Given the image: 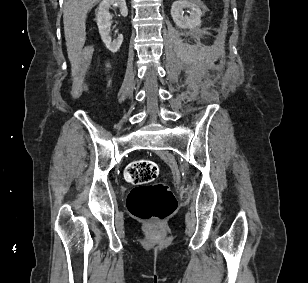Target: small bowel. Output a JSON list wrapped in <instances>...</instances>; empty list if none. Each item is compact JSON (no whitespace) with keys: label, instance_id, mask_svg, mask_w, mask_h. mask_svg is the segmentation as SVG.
Here are the masks:
<instances>
[{"label":"small bowel","instance_id":"1","mask_svg":"<svg viewBox=\"0 0 308 283\" xmlns=\"http://www.w3.org/2000/svg\"><path fill=\"white\" fill-rule=\"evenodd\" d=\"M72 71H73V73H74V66H73V70H72Z\"/></svg>","mask_w":308,"mask_h":283}]
</instances>
